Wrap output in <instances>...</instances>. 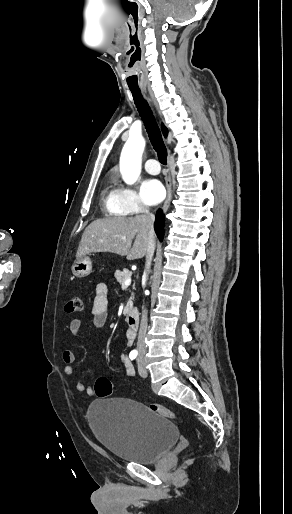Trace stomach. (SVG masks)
Instances as JSON below:
<instances>
[{
  "instance_id": "1",
  "label": "stomach",
  "mask_w": 292,
  "mask_h": 514,
  "mask_svg": "<svg viewBox=\"0 0 292 514\" xmlns=\"http://www.w3.org/2000/svg\"><path fill=\"white\" fill-rule=\"evenodd\" d=\"M71 270L73 276H76V278H85V276L91 274L92 262L89 256H81V258H76Z\"/></svg>"
}]
</instances>
